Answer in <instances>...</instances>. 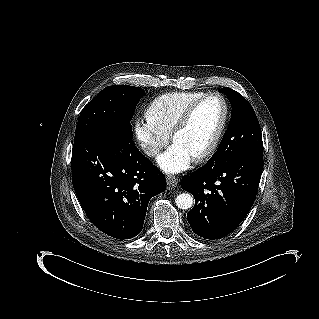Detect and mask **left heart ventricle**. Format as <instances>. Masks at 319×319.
<instances>
[{"instance_id": "b2bd125f", "label": "left heart ventricle", "mask_w": 319, "mask_h": 319, "mask_svg": "<svg viewBox=\"0 0 319 319\" xmlns=\"http://www.w3.org/2000/svg\"><path fill=\"white\" fill-rule=\"evenodd\" d=\"M221 114L222 106L217 99L203 102L193 111L187 123L179 131L176 141L192 153L201 151L215 134Z\"/></svg>"}]
</instances>
